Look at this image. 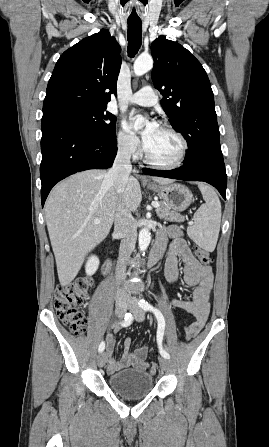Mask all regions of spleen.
Instances as JSON below:
<instances>
[{"instance_id":"1","label":"spleen","mask_w":269,"mask_h":447,"mask_svg":"<svg viewBox=\"0 0 269 447\" xmlns=\"http://www.w3.org/2000/svg\"><path fill=\"white\" fill-rule=\"evenodd\" d=\"M198 188L206 204H202L194 214V225L187 227V233L199 247L214 251L220 231L221 204L212 186L200 182Z\"/></svg>"}]
</instances>
